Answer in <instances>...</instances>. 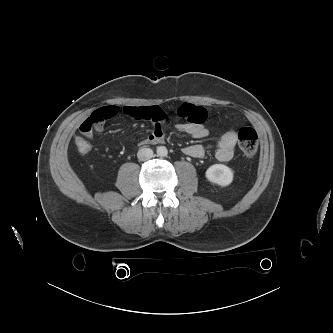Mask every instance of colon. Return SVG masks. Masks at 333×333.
I'll return each mask as SVG.
<instances>
[{"label":"colon","instance_id":"obj_1","mask_svg":"<svg viewBox=\"0 0 333 333\" xmlns=\"http://www.w3.org/2000/svg\"><path fill=\"white\" fill-rule=\"evenodd\" d=\"M240 150L247 157H253L258 149V135L251 127H241L237 133ZM75 145L79 152L87 153L91 149L90 142L81 136L75 137Z\"/></svg>","mask_w":333,"mask_h":333}]
</instances>
